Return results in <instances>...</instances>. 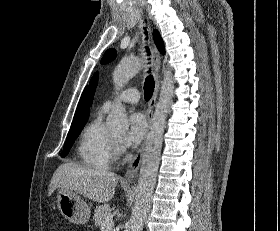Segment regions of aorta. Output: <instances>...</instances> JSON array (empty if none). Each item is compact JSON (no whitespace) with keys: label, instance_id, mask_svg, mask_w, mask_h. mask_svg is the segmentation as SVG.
<instances>
[{"label":"aorta","instance_id":"aorta-1","mask_svg":"<svg viewBox=\"0 0 280 231\" xmlns=\"http://www.w3.org/2000/svg\"><path fill=\"white\" fill-rule=\"evenodd\" d=\"M142 66V58L120 62L113 72L115 90L117 92L121 90L133 76L138 74ZM173 96L174 80L172 72L171 70H165L158 104L146 139L134 205L128 223L129 231H143L145 217L152 201L163 143V133L168 108L172 104ZM106 123L115 133H125L129 129V121L123 104H115V108L107 117Z\"/></svg>","mask_w":280,"mask_h":231}]
</instances>
